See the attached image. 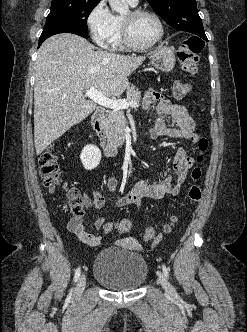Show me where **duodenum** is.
<instances>
[{
  "mask_svg": "<svg viewBox=\"0 0 247 332\" xmlns=\"http://www.w3.org/2000/svg\"><path fill=\"white\" fill-rule=\"evenodd\" d=\"M104 117H105L104 109L97 108L92 115L91 126L93 131L100 140V144L104 154L107 157H112L116 154V148L113 146V144L106 135L104 128Z\"/></svg>",
  "mask_w": 247,
  "mask_h": 332,
  "instance_id": "obj_1",
  "label": "duodenum"
}]
</instances>
